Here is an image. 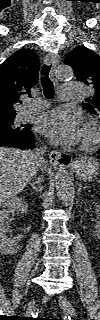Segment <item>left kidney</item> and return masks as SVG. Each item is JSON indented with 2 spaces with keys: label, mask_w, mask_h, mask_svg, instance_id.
I'll return each mask as SVG.
<instances>
[{
  "label": "left kidney",
  "mask_w": 100,
  "mask_h": 320,
  "mask_svg": "<svg viewBox=\"0 0 100 320\" xmlns=\"http://www.w3.org/2000/svg\"><path fill=\"white\" fill-rule=\"evenodd\" d=\"M97 227H98V226H97ZM97 227H96V228H97ZM99 233H100L99 230H96V231H95V236H96V237H99V235H100Z\"/></svg>",
  "instance_id": "obj_1"
}]
</instances>
